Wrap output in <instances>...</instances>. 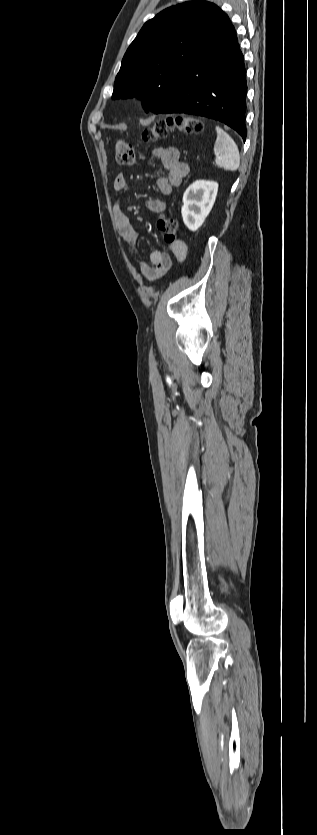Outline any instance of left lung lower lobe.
<instances>
[{
  "mask_svg": "<svg viewBox=\"0 0 317 835\" xmlns=\"http://www.w3.org/2000/svg\"><path fill=\"white\" fill-rule=\"evenodd\" d=\"M244 57L228 16L221 19L197 58L186 68L173 102L154 113L208 117L233 128L245 141L247 91Z\"/></svg>",
  "mask_w": 317,
  "mask_h": 835,
  "instance_id": "left-lung-lower-lobe-1",
  "label": "left lung lower lobe"
}]
</instances>
